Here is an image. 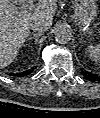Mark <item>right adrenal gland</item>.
Returning a JSON list of instances; mask_svg holds the SVG:
<instances>
[{
  "instance_id": "right-adrenal-gland-1",
  "label": "right adrenal gland",
  "mask_w": 100,
  "mask_h": 118,
  "mask_svg": "<svg viewBox=\"0 0 100 118\" xmlns=\"http://www.w3.org/2000/svg\"><path fill=\"white\" fill-rule=\"evenodd\" d=\"M41 36L40 33H34L33 35H29V37L27 38V41L31 40V39H34L35 41H37V38Z\"/></svg>"
}]
</instances>
